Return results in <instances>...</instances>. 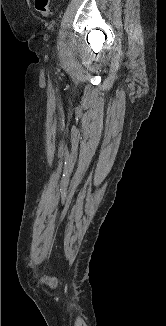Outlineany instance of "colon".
Masks as SVG:
<instances>
[{
	"mask_svg": "<svg viewBox=\"0 0 166 326\" xmlns=\"http://www.w3.org/2000/svg\"><path fill=\"white\" fill-rule=\"evenodd\" d=\"M35 8L43 17L51 14L50 0H35Z\"/></svg>",
	"mask_w": 166,
	"mask_h": 326,
	"instance_id": "obj_1",
	"label": "colon"
}]
</instances>
